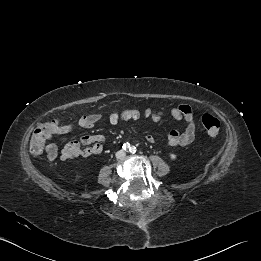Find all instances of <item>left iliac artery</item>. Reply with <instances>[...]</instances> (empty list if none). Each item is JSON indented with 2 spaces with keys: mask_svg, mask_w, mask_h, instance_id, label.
Here are the masks:
<instances>
[{
  "mask_svg": "<svg viewBox=\"0 0 261 261\" xmlns=\"http://www.w3.org/2000/svg\"><path fill=\"white\" fill-rule=\"evenodd\" d=\"M130 151H131L132 153H135V152H136V147H131V148H130Z\"/></svg>",
  "mask_w": 261,
  "mask_h": 261,
  "instance_id": "1",
  "label": "left iliac artery"
}]
</instances>
